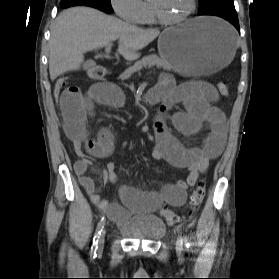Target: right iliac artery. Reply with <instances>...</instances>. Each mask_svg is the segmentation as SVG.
I'll return each mask as SVG.
<instances>
[{
  "label": "right iliac artery",
  "mask_w": 279,
  "mask_h": 279,
  "mask_svg": "<svg viewBox=\"0 0 279 279\" xmlns=\"http://www.w3.org/2000/svg\"><path fill=\"white\" fill-rule=\"evenodd\" d=\"M104 224H105V218L102 217V219L100 220V222L97 225L96 232H95L94 238H93V244H92V247H91V254L94 255V256H95L96 251L98 249V241H99L101 232L103 231Z\"/></svg>",
  "instance_id": "82829eb1"
}]
</instances>
